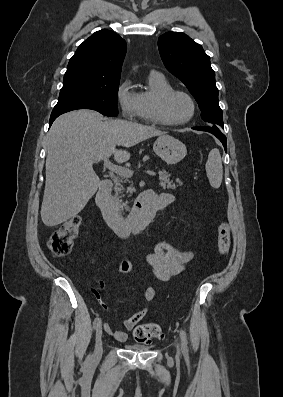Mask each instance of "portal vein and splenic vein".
I'll return each instance as SVG.
<instances>
[{"label":"portal vein and splenic vein","mask_w":283,"mask_h":397,"mask_svg":"<svg viewBox=\"0 0 283 397\" xmlns=\"http://www.w3.org/2000/svg\"><path fill=\"white\" fill-rule=\"evenodd\" d=\"M101 160L104 161V163H103L104 168H107L108 170H110V171H112V172H115L116 174H118V175L121 176V177H126V178H128V177H131V176L133 175V173H134L132 170H130V169H128V168H125V167H122V166H118V165L113 164V163L109 160V158L96 159L94 162H100ZM144 172H145L146 174L150 175V176H156V173L153 172V171L145 170Z\"/></svg>","instance_id":"1"}]
</instances>
